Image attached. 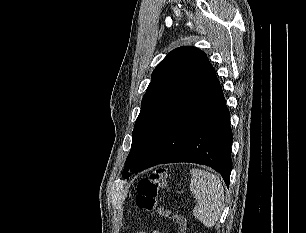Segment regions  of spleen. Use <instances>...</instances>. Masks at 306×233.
<instances>
[{"instance_id":"3e777b00","label":"spleen","mask_w":306,"mask_h":233,"mask_svg":"<svg viewBox=\"0 0 306 233\" xmlns=\"http://www.w3.org/2000/svg\"><path fill=\"white\" fill-rule=\"evenodd\" d=\"M190 191L197 203L193 215L204 226L211 228L218 221L224 204V189L219 177L205 170H190Z\"/></svg>"}]
</instances>
